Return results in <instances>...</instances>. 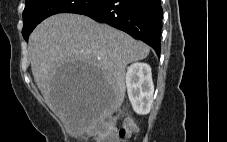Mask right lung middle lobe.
<instances>
[{
	"label": "right lung middle lobe",
	"mask_w": 227,
	"mask_h": 142,
	"mask_svg": "<svg viewBox=\"0 0 227 142\" xmlns=\"http://www.w3.org/2000/svg\"><path fill=\"white\" fill-rule=\"evenodd\" d=\"M106 0H29L23 11V37H28L44 19L57 13H79L102 5Z\"/></svg>",
	"instance_id": "right-lung-middle-lobe-1"
}]
</instances>
